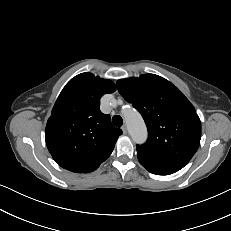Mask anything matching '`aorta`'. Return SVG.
<instances>
[{"label": "aorta", "mask_w": 231, "mask_h": 231, "mask_svg": "<svg viewBox=\"0 0 231 231\" xmlns=\"http://www.w3.org/2000/svg\"><path fill=\"white\" fill-rule=\"evenodd\" d=\"M124 118L132 139L136 143H143L147 138V129L140 114L134 109H128Z\"/></svg>", "instance_id": "1"}]
</instances>
